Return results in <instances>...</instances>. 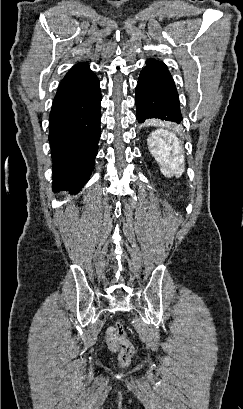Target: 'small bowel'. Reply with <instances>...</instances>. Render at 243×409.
<instances>
[{
	"label": "small bowel",
	"mask_w": 243,
	"mask_h": 409,
	"mask_svg": "<svg viewBox=\"0 0 243 409\" xmlns=\"http://www.w3.org/2000/svg\"><path fill=\"white\" fill-rule=\"evenodd\" d=\"M104 341L106 346L111 350V351H117L119 349L116 337H115V331L114 327H109L107 328L104 336Z\"/></svg>",
	"instance_id": "1"
}]
</instances>
